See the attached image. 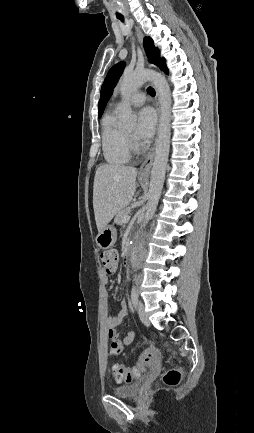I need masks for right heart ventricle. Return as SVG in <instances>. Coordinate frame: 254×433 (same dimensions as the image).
Returning a JSON list of instances; mask_svg holds the SVG:
<instances>
[{
	"label": "right heart ventricle",
	"mask_w": 254,
	"mask_h": 433,
	"mask_svg": "<svg viewBox=\"0 0 254 433\" xmlns=\"http://www.w3.org/2000/svg\"><path fill=\"white\" fill-rule=\"evenodd\" d=\"M101 144L104 159L111 165H123L131 158L126 132L117 125L115 115L108 113L102 120Z\"/></svg>",
	"instance_id": "obj_1"
}]
</instances>
